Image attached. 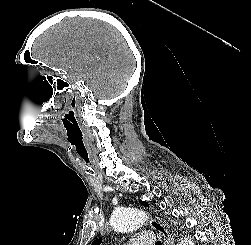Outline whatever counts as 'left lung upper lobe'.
Returning a JSON list of instances; mask_svg holds the SVG:
<instances>
[{
    "label": "left lung upper lobe",
    "mask_w": 251,
    "mask_h": 245,
    "mask_svg": "<svg viewBox=\"0 0 251 245\" xmlns=\"http://www.w3.org/2000/svg\"><path fill=\"white\" fill-rule=\"evenodd\" d=\"M140 202V204H142V205H144V206H148V203L147 202H143V201H139ZM101 242H102V239L101 238H99V239H96L93 243H92V245H100L101 244Z\"/></svg>",
    "instance_id": "1"
}]
</instances>
